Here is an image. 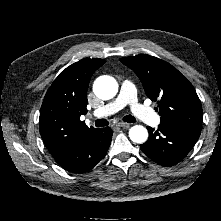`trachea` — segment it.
Returning <instances> with one entry per match:
<instances>
[{"mask_svg":"<svg viewBox=\"0 0 221 221\" xmlns=\"http://www.w3.org/2000/svg\"><path fill=\"white\" fill-rule=\"evenodd\" d=\"M123 121L132 123V122H136V119L132 115H126L123 117ZM108 124L109 122L106 119H98L95 121L96 127H104V126H107Z\"/></svg>","mask_w":221,"mask_h":221,"instance_id":"obj_1","label":"trachea"}]
</instances>
